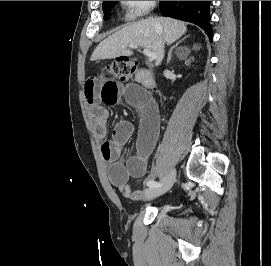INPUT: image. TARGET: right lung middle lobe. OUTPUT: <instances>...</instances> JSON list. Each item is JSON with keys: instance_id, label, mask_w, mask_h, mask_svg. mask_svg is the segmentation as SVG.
Segmentation results:
<instances>
[{"instance_id": "1", "label": "right lung middle lobe", "mask_w": 271, "mask_h": 266, "mask_svg": "<svg viewBox=\"0 0 271 266\" xmlns=\"http://www.w3.org/2000/svg\"><path fill=\"white\" fill-rule=\"evenodd\" d=\"M117 3V1H103V12H104V19H108L110 16L111 9Z\"/></svg>"}]
</instances>
